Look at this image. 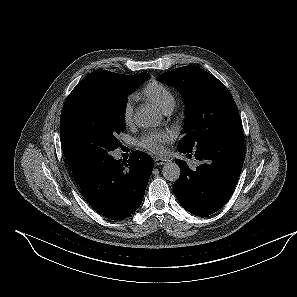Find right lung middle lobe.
<instances>
[{"mask_svg":"<svg viewBox=\"0 0 297 297\" xmlns=\"http://www.w3.org/2000/svg\"><path fill=\"white\" fill-rule=\"evenodd\" d=\"M148 76L126 80L109 96L84 98L61 114L62 145L84 168L90 170L112 157L119 146L116 137L126 128L127 96Z\"/></svg>","mask_w":297,"mask_h":297,"instance_id":"obj_1","label":"right lung middle lobe"}]
</instances>
